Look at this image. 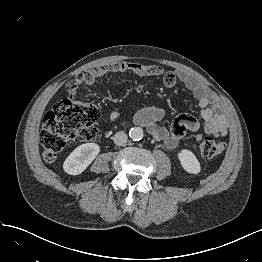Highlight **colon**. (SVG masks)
Segmentation results:
<instances>
[{
  "mask_svg": "<svg viewBox=\"0 0 262 262\" xmlns=\"http://www.w3.org/2000/svg\"><path fill=\"white\" fill-rule=\"evenodd\" d=\"M92 77L89 73L78 75L66 85L68 96L55 104L42 122L40 128V140L43 146V159L54 162L57 154L73 138L94 140L98 136L96 124L100 117V111L92 103L84 102L76 98L77 90ZM196 144L201 155L205 158H214L225 150V144L211 137L198 136Z\"/></svg>",
  "mask_w": 262,
  "mask_h": 262,
  "instance_id": "obj_1",
  "label": "colon"
}]
</instances>
